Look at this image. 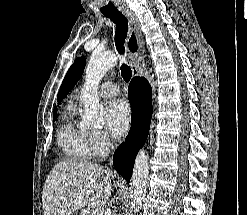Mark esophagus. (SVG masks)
Returning a JSON list of instances; mask_svg holds the SVG:
<instances>
[{"label": "esophagus", "instance_id": "obj_1", "mask_svg": "<svg viewBox=\"0 0 247 215\" xmlns=\"http://www.w3.org/2000/svg\"><path fill=\"white\" fill-rule=\"evenodd\" d=\"M121 12L126 16L129 22L126 47L130 56V64L134 77L139 76V66L143 59L144 42L140 35V24L135 14L128 8H123Z\"/></svg>", "mask_w": 247, "mask_h": 215}]
</instances>
